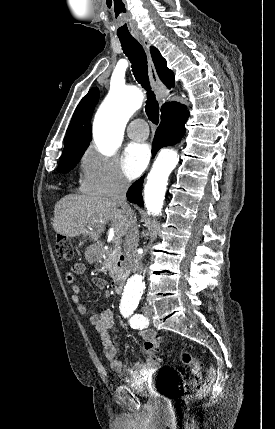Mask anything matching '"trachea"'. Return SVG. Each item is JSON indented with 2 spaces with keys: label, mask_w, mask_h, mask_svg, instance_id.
Here are the masks:
<instances>
[{
  "label": "trachea",
  "mask_w": 275,
  "mask_h": 429,
  "mask_svg": "<svg viewBox=\"0 0 275 429\" xmlns=\"http://www.w3.org/2000/svg\"><path fill=\"white\" fill-rule=\"evenodd\" d=\"M122 49L132 64L133 74L139 84L147 91V101L145 111L148 119L154 124L159 123V105L156 101L155 94L151 90L147 56L143 47L133 37H119Z\"/></svg>",
  "instance_id": "obj_1"
}]
</instances>
